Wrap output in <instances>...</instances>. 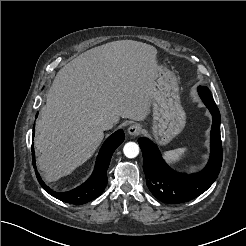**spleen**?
<instances>
[{"instance_id":"spleen-1","label":"spleen","mask_w":246,"mask_h":246,"mask_svg":"<svg viewBox=\"0 0 246 246\" xmlns=\"http://www.w3.org/2000/svg\"><path fill=\"white\" fill-rule=\"evenodd\" d=\"M188 147H182L175 150L166 151L163 153L164 160L171 166H176L188 154Z\"/></svg>"}]
</instances>
